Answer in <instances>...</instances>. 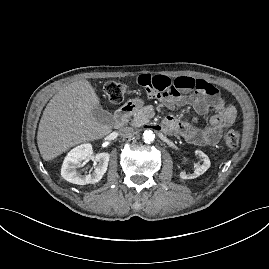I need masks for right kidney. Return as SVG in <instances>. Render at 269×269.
Instances as JSON below:
<instances>
[{"label":"right kidney","instance_id":"right-kidney-1","mask_svg":"<svg viewBox=\"0 0 269 269\" xmlns=\"http://www.w3.org/2000/svg\"><path fill=\"white\" fill-rule=\"evenodd\" d=\"M91 144H82L72 149L64 159L61 175L70 183L85 185L99 182L107 171L110 155L106 152L95 156ZM93 159L97 162L91 174H81L78 171L79 164L84 160Z\"/></svg>","mask_w":269,"mask_h":269}]
</instances>
